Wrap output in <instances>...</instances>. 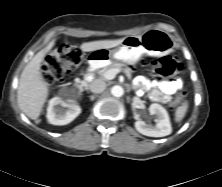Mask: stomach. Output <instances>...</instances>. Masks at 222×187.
Segmentation results:
<instances>
[{"instance_id": "0dacf381", "label": "stomach", "mask_w": 222, "mask_h": 187, "mask_svg": "<svg viewBox=\"0 0 222 187\" xmlns=\"http://www.w3.org/2000/svg\"><path fill=\"white\" fill-rule=\"evenodd\" d=\"M176 44L171 35L161 29H151L140 36H127L120 45L112 50L92 51L89 61L92 64L122 61L136 63L142 55L162 56L173 52Z\"/></svg>"}]
</instances>
